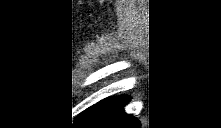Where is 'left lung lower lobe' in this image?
Segmentation results:
<instances>
[{
  "mask_svg": "<svg viewBox=\"0 0 221 128\" xmlns=\"http://www.w3.org/2000/svg\"><path fill=\"white\" fill-rule=\"evenodd\" d=\"M129 102L125 96H116L100 101L80 113L74 119L73 128H139L137 118L124 112Z\"/></svg>",
  "mask_w": 221,
  "mask_h": 128,
  "instance_id": "obj_1",
  "label": "left lung lower lobe"
}]
</instances>
